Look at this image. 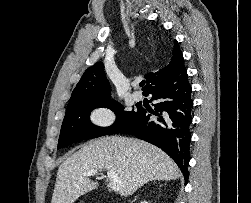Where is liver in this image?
<instances>
[{"label": "liver", "instance_id": "6515ba94", "mask_svg": "<svg viewBox=\"0 0 251 203\" xmlns=\"http://www.w3.org/2000/svg\"><path fill=\"white\" fill-rule=\"evenodd\" d=\"M91 170L114 171L123 197L153 180H176L179 169L161 149L134 138L108 136L93 140L68 157L58 168L51 203H74L98 187L84 176Z\"/></svg>", "mask_w": 251, "mask_h": 203}]
</instances>
